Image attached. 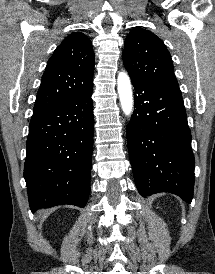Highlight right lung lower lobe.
Returning <instances> with one entry per match:
<instances>
[{
    "instance_id": "obj_1",
    "label": "right lung lower lobe",
    "mask_w": 215,
    "mask_h": 274,
    "mask_svg": "<svg viewBox=\"0 0 215 274\" xmlns=\"http://www.w3.org/2000/svg\"><path fill=\"white\" fill-rule=\"evenodd\" d=\"M92 88L32 116L24 166L32 212L87 203L94 129Z\"/></svg>"
}]
</instances>
